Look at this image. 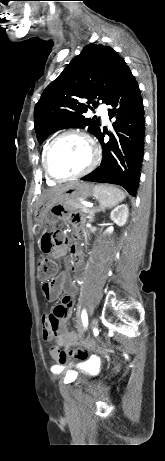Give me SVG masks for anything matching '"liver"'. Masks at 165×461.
<instances>
[{
  "mask_svg": "<svg viewBox=\"0 0 165 461\" xmlns=\"http://www.w3.org/2000/svg\"><path fill=\"white\" fill-rule=\"evenodd\" d=\"M58 189H59V188H54V189L50 190V191L48 192V194H49V193H53V192L57 191Z\"/></svg>",
  "mask_w": 165,
  "mask_h": 461,
  "instance_id": "1",
  "label": "liver"
}]
</instances>
